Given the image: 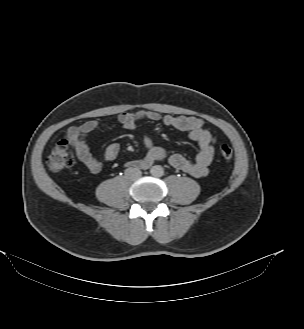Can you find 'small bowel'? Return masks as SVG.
Masks as SVG:
<instances>
[{
  "mask_svg": "<svg viewBox=\"0 0 304 329\" xmlns=\"http://www.w3.org/2000/svg\"><path fill=\"white\" fill-rule=\"evenodd\" d=\"M117 121L123 128L128 130H134L140 121L161 122L169 128L187 132L190 139L195 141L199 147L197 157L192 161L180 154L168 155L164 148L155 144L150 135L144 134L142 141L147 153L142 159L128 161V166L146 168L154 161L167 159L172 167L193 177L199 178L208 174L209 166L213 161L216 139L206 129L202 119L194 116L161 115L154 111H141L121 113ZM99 126V121L91 120L80 126H73L68 131L78 158L93 173H98L101 170L102 162L91 153L86 137ZM119 152V144L111 143L104 150L103 160L112 162L117 158Z\"/></svg>",
  "mask_w": 304,
  "mask_h": 329,
  "instance_id": "1",
  "label": "small bowel"
}]
</instances>
